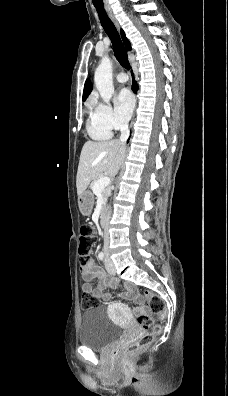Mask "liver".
Masks as SVG:
<instances>
[{
  "label": "liver",
  "instance_id": "liver-1",
  "mask_svg": "<svg viewBox=\"0 0 228 396\" xmlns=\"http://www.w3.org/2000/svg\"><path fill=\"white\" fill-rule=\"evenodd\" d=\"M126 146L120 140L87 141L81 151L76 177L77 194L80 196L90 182L107 171L115 176L122 165Z\"/></svg>",
  "mask_w": 228,
  "mask_h": 396
}]
</instances>
